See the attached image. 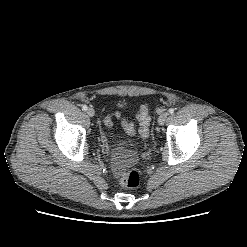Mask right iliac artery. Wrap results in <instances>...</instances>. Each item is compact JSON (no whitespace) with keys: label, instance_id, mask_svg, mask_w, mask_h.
<instances>
[{"label":"right iliac artery","instance_id":"obj_1","mask_svg":"<svg viewBox=\"0 0 247 247\" xmlns=\"http://www.w3.org/2000/svg\"><path fill=\"white\" fill-rule=\"evenodd\" d=\"M82 109H83L84 111H86V110L88 109V107H87L86 105H82Z\"/></svg>","mask_w":247,"mask_h":247}]
</instances>
